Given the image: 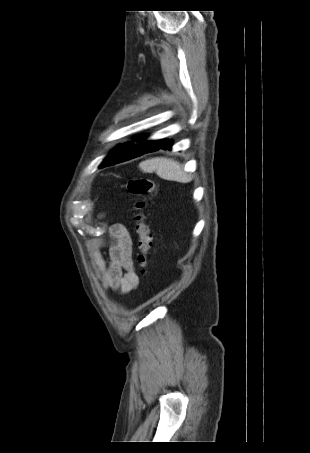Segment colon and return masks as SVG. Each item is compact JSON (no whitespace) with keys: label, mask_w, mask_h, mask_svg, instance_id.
Listing matches in <instances>:
<instances>
[{"label":"colon","mask_w":310,"mask_h":453,"mask_svg":"<svg viewBox=\"0 0 310 453\" xmlns=\"http://www.w3.org/2000/svg\"><path fill=\"white\" fill-rule=\"evenodd\" d=\"M125 188L136 197L135 201V231L138 236V263L144 271L148 266V253L152 248L153 238L146 223L145 211L148 207L147 200L157 194L156 184L147 178L130 179Z\"/></svg>","instance_id":"colon-1"}]
</instances>
